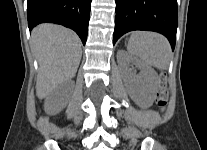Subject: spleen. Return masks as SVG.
<instances>
[{"instance_id":"1","label":"spleen","mask_w":207,"mask_h":150,"mask_svg":"<svg viewBox=\"0 0 207 150\" xmlns=\"http://www.w3.org/2000/svg\"><path fill=\"white\" fill-rule=\"evenodd\" d=\"M127 50L147 65L160 70H166L169 67L171 47L168 40L161 34L134 32L127 43Z\"/></svg>"}]
</instances>
